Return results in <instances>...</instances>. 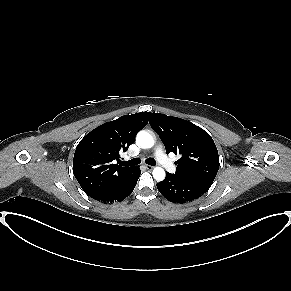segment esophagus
I'll return each instance as SVG.
<instances>
[{
	"label": "esophagus",
	"instance_id": "obj_1",
	"mask_svg": "<svg viewBox=\"0 0 291 291\" xmlns=\"http://www.w3.org/2000/svg\"><path fill=\"white\" fill-rule=\"evenodd\" d=\"M144 167H145V169H147V170H152V169H153V166H151V165H145Z\"/></svg>",
	"mask_w": 291,
	"mask_h": 291
}]
</instances>
